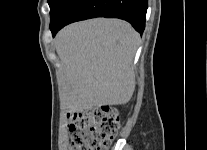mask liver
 <instances>
[{"label": "liver", "instance_id": "6515ba94", "mask_svg": "<svg viewBox=\"0 0 207 150\" xmlns=\"http://www.w3.org/2000/svg\"><path fill=\"white\" fill-rule=\"evenodd\" d=\"M139 34L119 19L73 23L56 36L64 68L66 108L82 112L127 103L135 90L132 62Z\"/></svg>", "mask_w": 207, "mask_h": 150}]
</instances>
